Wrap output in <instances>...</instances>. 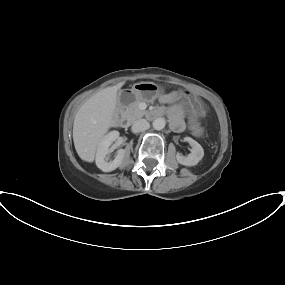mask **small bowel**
<instances>
[{
    "mask_svg": "<svg viewBox=\"0 0 285 285\" xmlns=\"http://www.w3.org/2000/svg\"><path fill=\"white\" fill-rule=\"evenodd\" d=\"M177 98H178V94L176 92L161 93L159 95V100L161 102L172 104L169 110V114L172 119V126L176 131H180L184 128V123L181 119L180 107L179 105L175 104ZM190 129L192 130L195 136H201L202 130L197 123L192 122L190 124Z\"/></svg>",
    "mask_w": 285,
    "mask_h": 285,
    "instance_id": "1",
    "label": "small bowel"
}]
</instances>
